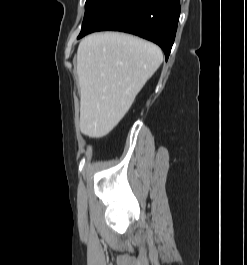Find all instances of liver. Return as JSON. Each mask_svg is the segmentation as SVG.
<instances>
[{
    "label": "liver",
    "instance_id": "obj_1",
    "mask_svg": "<svg viewBox=\"0 0 247 265\" xmlns=\"http://www.w3.org/2000/svg\"><path fill=\"white\" fill-rule=\"evenodd\" d=\"M161 49L132 35L105 32L85 37L77 50L80 131L106 136L161 65Z\"/></svg>",
    "mask_w": 247,
    "mask_h": 265
}]
</instances>
